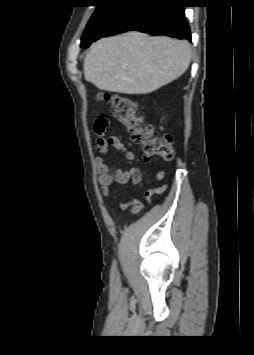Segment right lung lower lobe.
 <instances>
[{
  "label": "right lung lower lobe",
  "mask_w": 254,
  "mask_h": 355,
  "mask_svg": "<svg viewBox=\"0 0 254 355\" xmlns=\"http://www.w3.org/2000/svg\"><path fill=\"white\" fill-rule=\"evenodd\" d=\"M181 0H136L119 4L91 42H81L87 48L93 41L125 31L191 40L189 25Z\"/></svg>",
  "instance_id": "1"
}]
</instances>
